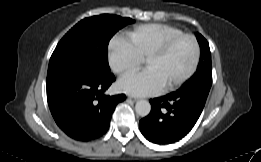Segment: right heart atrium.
<instances>
[{
	"label": "right heart atrium",
	"instance_id": "1",
	"mask_svg": "<svg viewBox=\"0 0 261 162\" xmlns=\"http://www.w3.org/2000/svg\"><path fill=\"white\" fill-rule=\"evenodd\" d=\"M143 59L133 49L130 42L123 37L114 38L108 46V63L111 70L124 76L138 70Z\"/></svg>",
	"mask_w": 261,
	"mask_h": 162
}]
</instances>
